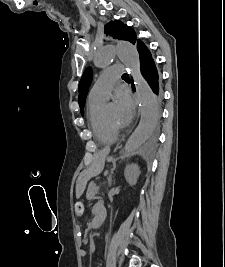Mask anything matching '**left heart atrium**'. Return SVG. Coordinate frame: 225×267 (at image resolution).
<instances>
[{"label": "left heart atrium", "instance_id": "1", "mask_svg": "<svg viewBox=\"0 0 225 267\" xmlns=\"http://www.w3.org/2000/svg\"><path fill=\"white\" fill-rule=\"evenodd\" d=\"M134 106L130 95L125 91L116 94V120L119 127L127 126L133 116Z\"/></svg>", "mask_w": 225, "mask_h": 267}]
</instances>
